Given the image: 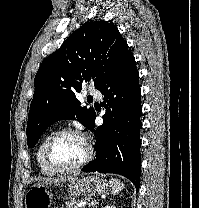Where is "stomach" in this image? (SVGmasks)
<instances>
[{"label":"stomach","instance_id":"stomach-1","mask_svg":"<svg viewBox=\"0 0 199 208\" xmlns=\"http://www.w3.org/2000/svg\"><path fill=\"white\" fill-rule=\"evenodd\" d=\"M110 187V184L99 176H86L70 181L67 190L70 196L92 197L108 193ZM53 196L47 185H35L25 195V208H51Z\"/></svg>","mask_w":199,"mask_h":208}]
</instances>
